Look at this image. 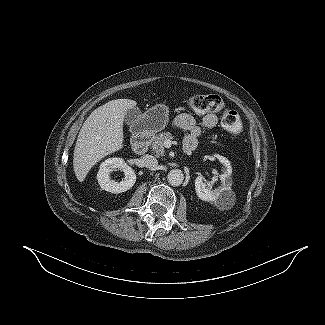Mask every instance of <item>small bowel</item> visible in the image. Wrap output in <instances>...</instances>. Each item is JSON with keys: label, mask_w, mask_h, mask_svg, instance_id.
<instances>
[{"label": "small bowel", "mask_w": 325, "mask_h": 325, "mask_svg": "<svg viewBox=\"0 0 325 325\" xmlns=\"http://www.w3.org/2000/svg\"><path fill=\"white\" fill-rule=\"evenodd\" d=\"M217 116L213 113L204 115L199 122L187 113L178 115L173 125L176 128L187 131V135L184 139V147H192L193 149L197 146L198 137L205 129H212L217 125Z\"/></svg>", "instance_id": "obj_1"}]
</instances>
